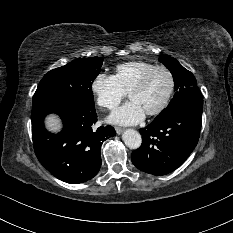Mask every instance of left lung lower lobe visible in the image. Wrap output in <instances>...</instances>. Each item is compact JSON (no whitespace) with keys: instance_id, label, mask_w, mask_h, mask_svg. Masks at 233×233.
Wrapping results in <instances>:
<instances>
[{"instance_id":"0a47b994","label":"left lung lower lobe","mask_w":233,"mask_h":233,"mask_svg":"<svg viewBox=\"0 0 233 233\" xmlns=\"http://www.w3.org/2000/svg\"><path fill=\"white\" fill-rule=\"evenodd\" d=\"M203 99H192L167 118L141 128L142 145L131 154L141 171L166 175L180 167L196 147L202 126Z\"/></svg>"}]
</instances>
